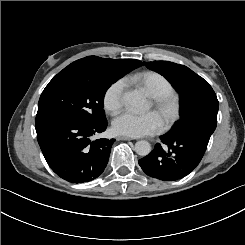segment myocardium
<instances>
[{
  "mask_svg": "<svg viewBox=\"0 0 245 245\" xmlns=\"http://www.w3.org/2000/svg\"><path fill=\"white\" fill-rule=\"evenodd\" d=\"M152 106L164 127L171 126L179 117L180 100L175 94H159L152 97Z\"/></svg>",
  "mask_w": 245,
  "mask_h": 245,
  "instance_id": "obj_1",
  "label": "myocardium"
}]
</instances>
